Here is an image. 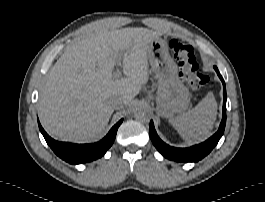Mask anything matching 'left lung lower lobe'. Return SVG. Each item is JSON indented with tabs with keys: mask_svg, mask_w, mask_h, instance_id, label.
Wrapping results in <instances>:
<instances>
[{
	"mask_svg": "<svg viewBox=\"0 0 265 202\" xmlns=\"http://www.w3.org/2000/svg\"><path fill=\"white\" fill-rule=\"evenodd\" d=\"M214 69L216 70L219 78L221 79L223 83V113H222V121L220 123L218 131L211 136L208 140L205 142L194 145L188 148H175L172 146H169L168 144L164 143L157 135L153 121L150 122V138L152 140V143L156 147V149L166 158L176 161V162H197L204 158L206 155H208L211 150L217 145L218 141L220 140L221 136L224 133L225 124H226V88H225V82L219 73L216 66H214Z\"/></svg>",
	"mask_w": 265,
	"mask_h": 202,
	"instance_id": "obj_1",
	"label": "left lung lower lobe"
}]
</instances>
